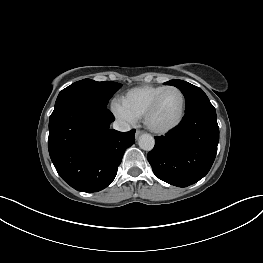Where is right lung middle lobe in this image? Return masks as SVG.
<instances>
[{
  "mask_svg": "<svg viewBox=\"0 0 263 263\" xmlns=\"http://www.w3.org/2000/svg\"><path fill=\"white\" fill-rule=\"evenodd\" d=\"M121 86L120 83L113 81L97 82L91 79L78 81L59 93L54 110L59 109L64 104L72 102H82L106 107L108 100Z\"/></svg>",
  "mask_w": 263,
  "mask_h": 263,
  "instance_id": "obj_1",
  "label": "right lung middle lobe"
}]
</instances>
